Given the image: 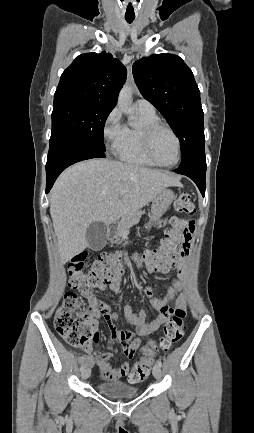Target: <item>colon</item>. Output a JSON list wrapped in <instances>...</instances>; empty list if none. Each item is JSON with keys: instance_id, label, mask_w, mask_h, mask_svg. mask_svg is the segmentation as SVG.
I'll return each mask as SVG.
<instances>
[{"instance_id": "5ec220e1", "label": "colon", "mask_w": 254, "mask_h": 433, "mask_svg": "<svg viewBox=\"0 0 254 433\" xmlns=\"http://www.w3.org/2000/svg\"><path fill=\"white\" fill-rule=\"evenodd\" d=\"M178 213L187 217L195 215V206L188 194H181L174 204ZM170 227L165 232L161 245L146 251L142 258L152 270H158L170 260L189 254L191 237L194 232V221H185L178 217L168 220ZM87 255L82 253L73 258L67 265L70 286L81 292H89L111 282L122 273L118 254H102L86 269ZM96 302H83L76 292L65 294L62 304L54 317L56 332L71 346L90 348L94 344L98 332L95 317ZM185 310L175 308L165 323L162 335L154 342L150 341L143 349L145 355L134 365L131 372L133 382L143 381L150 373L154 364L153 352L157 349L167 351L178 343L185 331Z\"/></svg>"}]
</instances>
